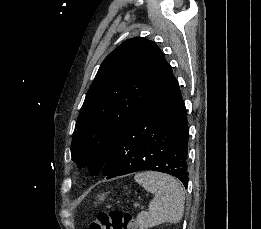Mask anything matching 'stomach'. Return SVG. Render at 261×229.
Listing matches in <instances>:
<instances>
[{"instance_id": "1", "label": "stomach", "mask_w": 261, "mask_h": 229, "mask_svg": "<svg viewBox=\"0 0 261 229\" xmlns=\"http://www.w3.org/2000/svg\"><path fill=\"white\" fill-rule=\"evenodd\" d=\"M104 197H105V195H102V197H100L101 201H102V199H104Z\"/></svg>"}]
</instances>
